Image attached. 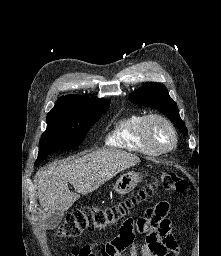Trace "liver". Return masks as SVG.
<instances>
[{"instance_id": "obj_1", "label": "liver", "mask_w": 221, "mask_h": 256, "mask_svg": "<svg viewBox=\"0 0 221 256\" xmlns=\"http://www.w3.org/2000/svg\"><path fill=\"white\" fill-rule=\"evenodd\" d=\"M140 163L139 157L116 149H100L76 159L55 162L37 173L43 220L56 211H67L80 198L98 189L116 174ZM68 183L73 185L71 192Z\"/></svg>"}]
</instances>
